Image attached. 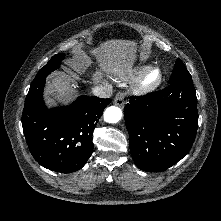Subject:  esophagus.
<instances>
[{
  "label": "esophagus",
  "mask_w": 221,
  "mask_h": 221,
  "mask_svg": "<svg viewBox=\"0 0 221 221\" xmlns=\"http://www.w3.org/2000/svg\"><path fill=\"white\" fill-rule=\"evenodd\" d=\"M125 94L124 93H117V95L114 97L113 103L119 107H124L125 104Z\"/></svg>",
  "instance_id": "34e87169"
}]
</instances>
